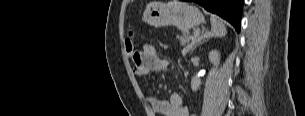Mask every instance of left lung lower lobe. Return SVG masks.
I'll use <instances>...</instances> for the list:
<instances>
[{"label": "left lung lower lobe", "instance_id": "obj_1", "mask_svg": "<svg viewBox=\"0 0 305 116\" xmlns=\"http://www.w3.org/2000/svg\"><path fill=\"white\" fill-rule=\"evenodd\" d=\"M229 21L240 31V20L243 0H191Z\"/></svg>", "mask_w": 305, "mask_h": 116}]
</instances>
